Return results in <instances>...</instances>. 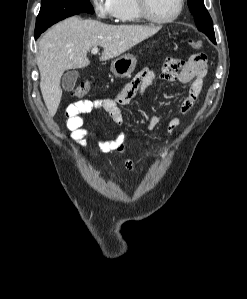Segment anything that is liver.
Listing matches in <instances>:
<instances>
[{"mask_svg": "<svg viewBox=\"0 0 247 299\" xmlns=\"http://www.w3.org/2000/svg\"><path fill=\"white\" fill-rule=\"evenodd\" d=\"M161 27L141 25H108L96 20L67 18L41 38L37 55L40 89L49 115L53 117L62 97L61 77L68 69L90 64L87 53L100 46V61H107L128 51L155 35Z\"/></svg>", "mask_w": 247, "mask_h": 299, "instance_id": "liver-1", "label": "liver"}]
</instances>
